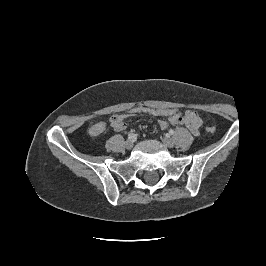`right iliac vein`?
Instances as JSON below:
<instances>
[{
  "label": "right iliac vein",
  "mask_w": 266,
  "mask_h": 266,
  "mask_svg": "<svg viewBox=\"0 0 266 266\" xmlns=\"http://www.w3.org/2000/svg\"><path fill=\"white\" fill-rule=\"evenodd\" d=\"M133 145H134V143H133L132 140H127V141L125 142V147H126L127 149H131V148L133 147Z\"/></svg>",
  "instance_id": "63e3f726"
}]
</instances>
